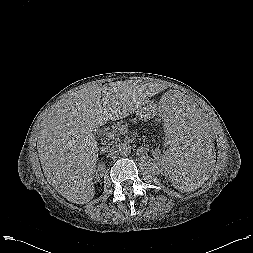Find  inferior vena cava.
Instances as JSON below:
<instances>
[{"instance_id": "inferior-vena-cava-1", "label": "inferior vena cava", "mask_w": 253, "mask_h": 253, "mask_svg": "<svg viewBox=\"0 0 253 253\" xmlns=\"http://www.w3.org/2000/svg\"><path fill=\"white\" fill-rule=\"evenodd\" d=\"M110 155H116L118 153V145H113L109 147Z\"/></svg>"}]
</instances>
